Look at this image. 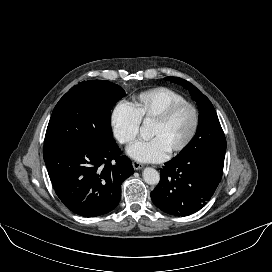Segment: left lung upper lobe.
I'll return each mask as SVG.
<instances>
[{"mask_svg": "<svg viewBox=\"0 0 272 272\" xmlns=\"http://www.w3.org/2000/svg\"><path fill=\"white\" fill-rule=\"evenodd\" d=\"M165 79L189 90L200 111L198 129L194 138L177 156L200 155L224 162L226 139L210 100L198 88L184 79L179 77H166Z\"/></svg>", "mask_w": 272, "mask_h": 272, "instance_id": "5c2ea615", "label": "left lung upper lobe"}]
</instances>
